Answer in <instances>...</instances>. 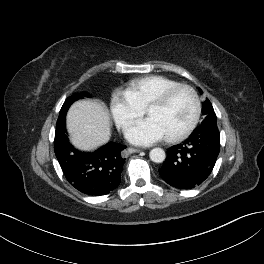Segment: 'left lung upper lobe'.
<instances>
[{"mask_svg":"<svg viewBox=\"0 0 264 264\" xmlns=\"http://www.w3.org/2000/svg\"><path fill=\"white\" fill-rule=\"evenodd\" d=\"M202 114L205 116V119L202 121V124L216 123V114L214 112L212 104L208 99H206L202 105Z\"/></svg>","mask_w":264,"mask_h":264,"instance_id":"5c2ea615","label":"left lung upper lobe"}]
</instances>
